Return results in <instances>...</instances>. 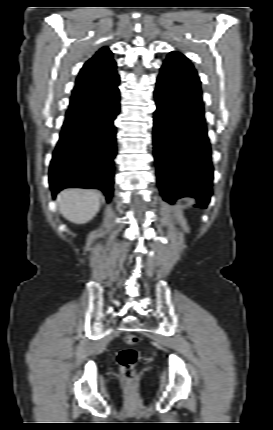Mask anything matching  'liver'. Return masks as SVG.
Segmentation results:
<instances>
[{
  "mask_svg": "<svg viewBox=\"0 0 273 430\" xmlns=\"http://www.w3.org/2000/svg\"><path fill=\"white\" fill-rule=\"evenodd\" d=\"M101 195L93 190L67 189L57 196L60 213L69 221L85 224L100 208Z\"/></svg>",
  "mask_w": 273,
  "mask_h": 430,
  "instance_id": "1",
  "label": "liver"
}]
</instances>
